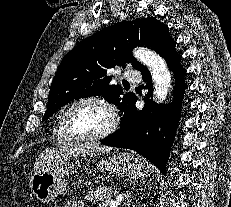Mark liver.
Returning <instances> with one entry per match:
<instances>
[{"instance_id":"6515ba94","label":"liver","mask_w":231,"mask_h":207,"mask_svg":"<svg viewBox=\"0 0 231 207\" xmlns=\"http://www.w3.org/2000/svg\"><path fill=\"white\" fill-rule=\"evenodd\" d=\"M111 150V147L98 144L71 145L59 149H49L42 152L36 159L34 170L38 171L44 168H49L61 159L79 156L85 157L86 155H93Z\"/></svg>"}]
</instances>
